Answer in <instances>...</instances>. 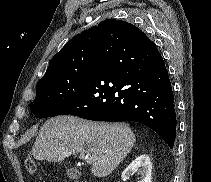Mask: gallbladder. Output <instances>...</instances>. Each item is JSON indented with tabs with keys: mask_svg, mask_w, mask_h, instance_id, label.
Here are the masks:
<instances>
[{
	"mask_svg": "<svg viewBox=\"0 0 211 182\" xmlns=\"http://www.w3.org/2000/svg\"><path fill=\"white\" fill-rule=\"evenodd\" d=\"M72 172H73V169H70V170L68 171V175H71Z\"/></svg>",
	"mask_w": 211,
	"mask_h": 182,
	"instance_id": "gallbladder-1",
	"label": "gallbladder"
}]
</instances>
